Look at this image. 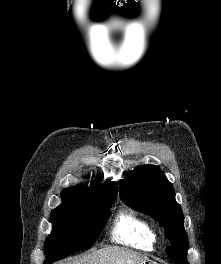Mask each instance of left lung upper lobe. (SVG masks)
I'll return each mask as SVG.
<instances>
[{"instance_id": "1", "label": "left lung upper lobe", "mask_w": 221, "mask_h": 264, "mask_svg": "<svg viewBox=\"0 0 221 264\" xmlns=\"http://www.w3.org/2000/svg\"><path fill=\"white\" fill-rule=\"evenodd\" d=\"M120 198L135 210L150 215L165 229L171 246L166 253L179 263L187 262L188 237L184 216L175 200L172 184L157 166H137L120 181Z\"/></svg>"}]
</instances>
